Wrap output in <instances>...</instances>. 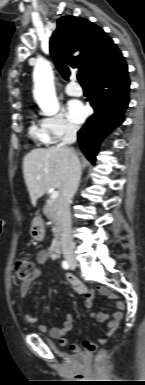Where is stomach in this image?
Masks as SVG:
<instances>
[{
    "mask_svg": "<svg viewBox=\"0 0 145 385\" xmlns=\"http://www.w3.org/2000/svg\"><path fill=\"white\" fill-rule=\"evenodd\" d=\"M44 232L42 220L40 218L35 219L30 229L31 237L37 241H41L44 237Z\"/></svg>",
    "mask_w": 145,
    "mask_h": 385,
    "instance_id": "stomach-1",
    "label": "stomach"
}]
</instances>
